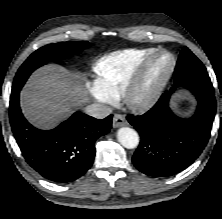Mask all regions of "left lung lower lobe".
<instances>
[{
    "label": "left lung lower lobe",
    "instance_id": "0a47b994",
    "mask_svg": "<svg viewBox=\"0 0 222 219\" xmlns=\"http://www.w3.org/2000/svg\"><path fill=\"white\" fill-rule=\"evenodd\" d=\"M186 88L198 101L196 113L190 119L177 117L169 108V98L176 87L162 94L145 114L127 117L141 136L132 162L144 174L174 175L191 165L208 142L216 112L214 91L196 86Z\"/></svg>",
    "mask_w": 222,
    "mask_h": 219
}]
</instances>
